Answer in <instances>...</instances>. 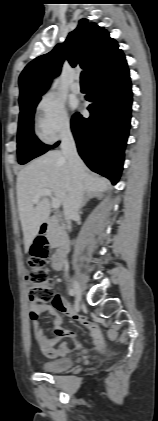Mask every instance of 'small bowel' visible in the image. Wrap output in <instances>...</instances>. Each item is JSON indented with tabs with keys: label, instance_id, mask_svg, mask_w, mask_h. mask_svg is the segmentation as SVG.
<instances>
[{
	"label": "small bowel",
	"instance_id": "c3829d8e",
	"mask_svg": "<svg viewBox=\"0 0 158 421\" xmlns=\"http://www.w3.org/2000/svg\"><path fill=\"white\" fill-rule=\"evenodd\" d=\"M31 312H35L37 315L48 313L51 317L52 335H47L45 333V327L38 319L33 320L35 341L40 350L48 357L55 358L67 354L70 351V344L68 342H63L58 346L57 344L63 338L74 337V332L72 330L60 329L59 326L62 323V316L60 313L73 318L86 333L97 339L99 345L103 344V341L98 334L97 327L76 312L70 303L59 295L54 297L50 305L31 306Z\"/></svg>",
	"mask_w": 158,
	"mask_h": 421
}]
</instances>
